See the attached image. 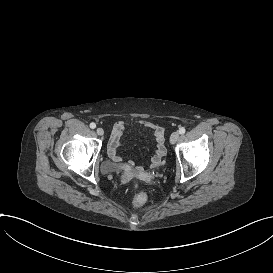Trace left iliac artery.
<instances>
[{
  "label": "left iliac artery",
  "mask_w": 273,
  "mask_h": 273,
  "mask_svg": "<svg viewBox=\"0 0 273 273\" xmlns=\"http://www.w3.org/2000/svg\"><path fill=\"white\" fill-rule=\"evenodd\" d=\"M185 128L184 127H181L179 128V134H184L185 133Z\"/></svg>",
  "instance_id": "1"
}]
</instances>
